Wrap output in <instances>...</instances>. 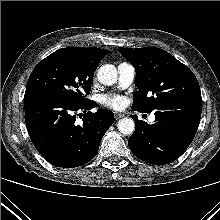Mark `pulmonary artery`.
Wrapping results in <instances>:
<instances>
[{
    "instance_id": "pulmonary-artery-1",
    "label": "pulmonary artery",
    "mask_w": 220,
    "mask_h": 220,
    "mask_svg": "<svg viewBox=\"0 0 220 220\" xmlns=\"http://www.w3.org/2000/svg\"><path fill=\"white\" fill-rule=\"evenodd\" d=\"M118 70V83L120 88H127L131 85L135 77V68L128 62H122L117 67ZM155 115H150L149 121L153 122Z\"/></svg>"
}]
</instances>
